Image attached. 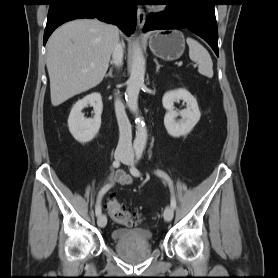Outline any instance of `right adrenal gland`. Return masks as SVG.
<instances>
[{"mask_svg":"<svg viewBox=\"0 0 278 278\" xmlns=\"http://www.w3.org/2000/svg\"><path fill=\"white\" fill-rule=\"evenodd\" d=\"M105 77H113L112 69H110L109 73Z\"/></svg>","mask_w":278,"mask_h":278,"instance_id":"right-adrenal-gland-1","label":"right adrenal gland"}]
</instances>
